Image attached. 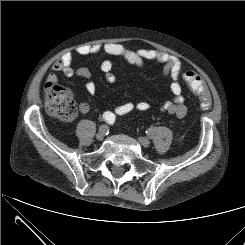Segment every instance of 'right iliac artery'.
Instances as JSON below:
<instances>
[{
    "instance_id": "82829eb1",
    "label": "right iliac artery",
    "mask_w": 245,
    "mask_h": 245,
    "mask_svg": "<svg viewBox=\"0 0 245 245\" xmlns=\"http://www.w3.org/2000/svg\"><path fill=\"white\" fill-rule=\"evenodd\" d=\"M107 117H109V115H107V116L105 117V122H107V123H109V124H112V123L114 122V120H110V118H107ZM100 128H101V130H102L105 134H108L109 129H108V126H107V125H102ZM100 128H99V129H100Z\"/></svg>"
}]
</instances>
